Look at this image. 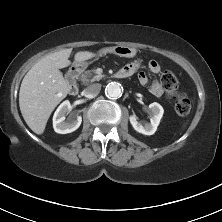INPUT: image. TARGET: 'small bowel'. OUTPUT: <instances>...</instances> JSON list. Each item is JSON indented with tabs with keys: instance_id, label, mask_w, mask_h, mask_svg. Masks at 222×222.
Instances as JSON below:
<instances>
[{
	"instance_id": "c3829d8e",
	"label": "small bowel",
	"mask_w": 222,
	"mask_h": 222,
	"mask_svg": "<svg viewBox=\"0 0 222 222\" xmlns=\"http://www.w3.org/2000/svg\"><path fill=\"white\" fill-rule=\"evenodd\" d=\"M140 65H141V62L139 60H136L134 62H131V63L125 65L122 68V70L129 71L131 73L130 74V76H131L139 69ZM148 69L150 70V72L156 74L160 71V66H159L158 62H156L155 60H151L148 62ZM138 79L142 85L147 86V88L151 94H153L155 96H161L163 94V89H162V86L160 85V83L156 80L150 81L148 76L144 72H140L138 74Z\"/></svg>"
}]
</instances>
